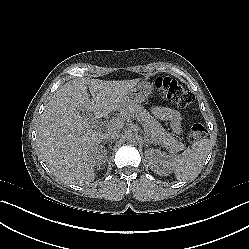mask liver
<instances>
[{"mask_svg":"<svg viewBox=\"0 0 249 249\" xmlns=\"http://www.w3.org/2000/svg\"><path fill=\"white\" fill-rule=\"evenodd\" d=\"M134 84L73 80L64 85L40 120L37 146L44 162L78 180H93L94 155L103 134L93 129L89 116L105 117L115 111L126 102Z\"/></svg>","mask_w":249,"mask_h":249,"instance_id":"liver-1","label":"liver"}]
</instances>
